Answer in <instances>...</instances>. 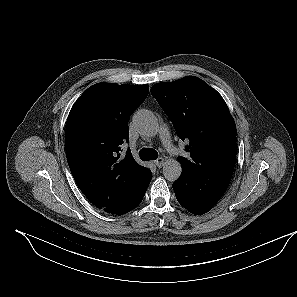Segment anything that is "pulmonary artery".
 <instances>
[{"label":"pulmonary artery","mask_w":297,"mask_h":297,"mask_svg":"<svg viewBox=\"0 0 297 297\" xmlns=\"http://www.w3.org/2000/svg\"><path fill=\"white\" fill-rule=\"evenodd\" d=\"M160 133H161L162 139L167 142L169 139V133H168V129L165 125L161 126Z\"/></svg>","instance_id":"obj_1"}]
</instances>
